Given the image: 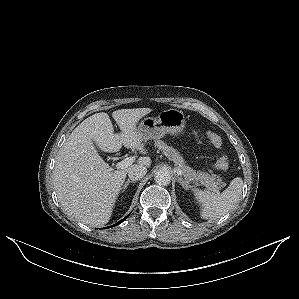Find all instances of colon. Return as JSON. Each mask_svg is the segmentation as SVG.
Masks as SVG:
<instances>
[{
    "instance_id": "5ec220e1",
    "label": "colon",
    "mask_w": 299,
    "mask_h": 299,
    "mask_svg": "<svg viewBox=\"0 0 299 299\" xmlns=\"http://www.w3.org/2000/svg\"><path fill=\"white\" fill-rule=\"evenodd\" d=\"M207 138L208 140L216 147V148H221L223 145V141L222 138L214 133V132H207ZM229 162L226 156H220L216 163H215V167L218 170H225L228 168Z\"/></svg>"
}]
</instances>
